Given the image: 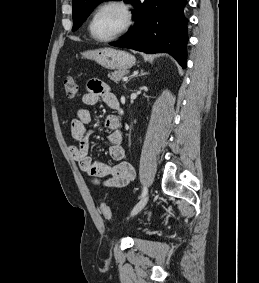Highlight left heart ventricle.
Masks as SVG:
<instances>
[{"mask_svg": "<svg viewBox=\"0 0 259 283\" xmlns=\"http://www.w3.org/2000/svg\"><path fill=\"white\" fill-rule=\"evenodd\" d=\"M125 23L123 11L111 6L100 11L94 19L92 31L98 38H107L117 33Z\"/></svg>", "mask_w": 259, "mask_h": 283, "instance_id": "1", "label": "left heart ventricle"}]
</instances>
